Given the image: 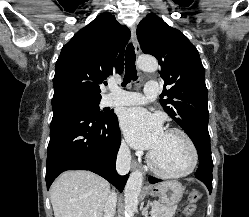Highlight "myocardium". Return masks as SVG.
I'll list each match as a JSON object with an SVG mask.
<instances>
[{
    "mask_svg": "<svg viewBox=\"0 0 249 217\" xmlns=\"http://www.w3.org/2000/svg\"><path fill=\"white\" fill-rule=\"evenodd\" d=\"M165 133H176L183 137V139L186 141L191 151V162L189 166L183 171L169 172V171H165L159 168L153 159L152 152H149L147 155V163L150 169L154 173L164 178H182V177L190 175L195 170L197 163H198V151H197L194 141L192 140V138L189 136L187 132H185L184 130L180 128H176V127L168 128L165 131Z\"/></svg>",
    "mask_w": 249,
    "mask_h": 217,
    "instance_id": "f54148a6",
    "label": "myocardium"
}]
</instances>
